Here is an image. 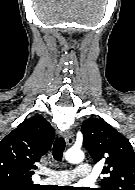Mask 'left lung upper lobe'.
<instances>
[{
  "mask_svg": "<svg viewBox=\"0 0 135 190\" xmlns=\"http://www.w3.org/2000/svg\"><path fill=\"white\" fill-rule=\"evenodd\" d=\"M83 145L106 175L99 190H135V153L129 140L102 119L83 122Z\"/></svg>",
  "mask_w": 135,
  "mask_h": 190,
  "instance_id": "left-lung-upper-lobe-1",
  "label": "left lung upper lobe"
}]
</instances>
